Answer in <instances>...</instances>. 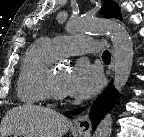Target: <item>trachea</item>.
Instances as JSON below:
<instances>
[{
	"instance_id": "1",
	"label": "trachea",
	"mask_w": 144,
	"mask_h": 137,
	"mask_svg": "<svg viewBox=\"0 0 144 137\" xmlns=\"http://www.w3.org/2000/svg\"><path fill=\"white\" fill-rule=\"evenodd\" d=\"M102 59L103 60H111V55H110V52L109 51H104L103 54H102Z\"/></svg>"
}]
</instances>
